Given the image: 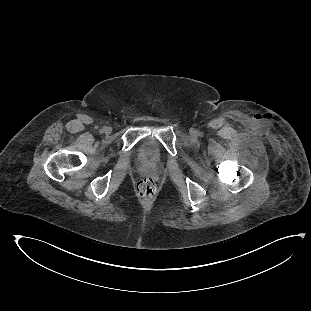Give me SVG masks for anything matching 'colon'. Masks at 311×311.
<instances>
[{
	"mask_svg": "<svg viewBox=\"0 0 311 311\" xmlns=\"http://www.w3.org/2000/svg\"><path fill=\"white\" fill-rule=\"evenodd\" d=\"M136 191L141 197H150L156 192V184L151 177H142L136 183Z\"/></svg>",
	"mask_w": 311,
	"mask_h": 311,
	"instance_id": "colon-1",
	"label": "colon"
}]
</instances>
